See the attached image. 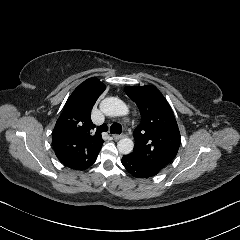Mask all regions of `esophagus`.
I'll list each match as a JSON object with an SVG mask.
<instances>
[{"label":"esophagus","mask_w":240,"mask_h":240,"mask_svg":"<svg viewBox=\"0 0 240 240\" xmlns=\"http://www.w3.org/2000/svg\"><path fill=\"white\" fill-rule=\"evenodd\" d=\"M124 137H125V134H121V135L114 134V135H113L114 140H120V139H122V138H124Z\"/></svg>","instance_id":"1"}]
</instances>
